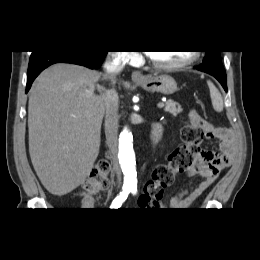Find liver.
<instances>
[{"label":"liver","mask_w":260,"mask_h":260,"mask_svg":"<svg viewBox=\"0 0 260 260\" xmlns=\"http://www.w3.org/2000/svg\"><path fill=\"white\" fill-rule=\"evenodd\" d=\"M101 73L58 63L33 83L28 102L29 153L43 186L62 196L81 185L97 159L105 113L94 94Z\"/></svg>","instance_id":"6515ba94"}]
</instances>
